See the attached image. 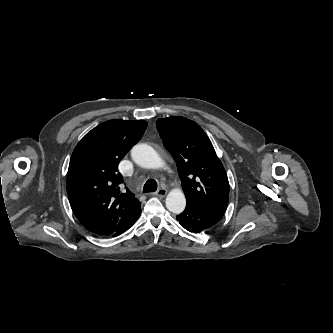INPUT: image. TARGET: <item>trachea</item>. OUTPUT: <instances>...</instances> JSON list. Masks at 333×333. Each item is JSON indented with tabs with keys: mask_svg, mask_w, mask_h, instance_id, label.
<instances>
[{
	"mask_svg": "<svg viewBox=\"0 0 333 333\" xmlns=\"http://www.w3.org/2000/svg\"><path fill=\"white\" fill-rule=\"evenodd\" d=\"M157 182L154 179H149L146 181L143 187V192H155L157 190Z\"/></svg>",
	"mask_w": 333,
	"mask_h": 333,
	"instance_id": "trachea-1",
	"label": "trachea"
}]
</instances>
